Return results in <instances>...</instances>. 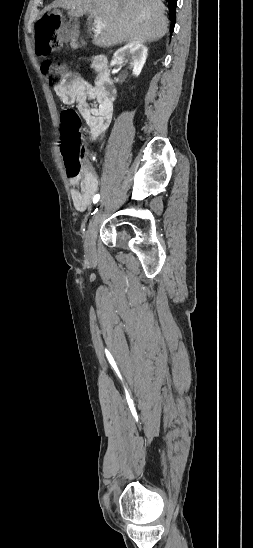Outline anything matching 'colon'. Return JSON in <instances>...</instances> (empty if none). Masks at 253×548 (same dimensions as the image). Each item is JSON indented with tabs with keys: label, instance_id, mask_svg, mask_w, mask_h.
I'll list each match as a JSON object with an SVG mask.
<instances>
[{
	"label": "colon",
	"instance_id": "1",
	"mask_svg": "<svg viewBox=\"0 0 253 548\" xmlns=\"http://www.w3.org/2000/svg\"><path fill=\"white\" fill-rule=\"evenodd\" d=\"M36 48L46 55L61 45V27L58 17L50 15L41 18L35 27ZM41 69L49 85L57 86L67 71L65 63L46 59ZM81 122L77 112L67 109L62 113L61 147L67 164V174L77 176L81 172L80 164Z\"/></svg>",
	"mask_w": 253,
	"mask_h": 548
}]
</instances>
